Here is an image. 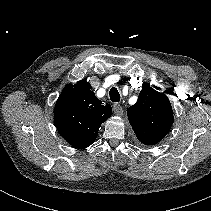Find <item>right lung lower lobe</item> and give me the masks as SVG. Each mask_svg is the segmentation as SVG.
I'll use <instances>...</instances> for the list:
<instances>
[{"label": "right lung lower lobe", "mask_w": 211, "mask_h": 211, "mask_svg": "<svg viewBox=\"0 0 211 211\" xmlns=\"http://www.w3.org/2000/svg\"><path fill=\"white\" fill-rule=\"evenodd\" d=\"M70 117L67 113L66 102L62 100H57L54 109V121L57 127H63L70 123Z\"/></svg>", "instance_id": "obj_1"}]
</instances>
